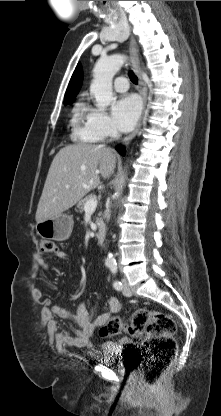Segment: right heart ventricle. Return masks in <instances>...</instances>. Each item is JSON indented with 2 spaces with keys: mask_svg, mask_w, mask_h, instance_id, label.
Here are the masks:
<instances>
[{
  "mask_svg": "<svg viewBox=\"0 0 221 416\" xmlns=\"http://www.w3.org/2000/svg\"><path fill=\"white\" fill-rule=\"evenodd\" d=\"M87 106L79 102L73 108V118L72 122L74 124L75 137L82 142H92L94 141L84 130V127L81 126V121L85 117Z\"/></svg>",
  "mask_w": 221,
  "mask_h": 416,
  "instance_id": "1",
  "label": "right heart ventricle"
}]
</instances>
